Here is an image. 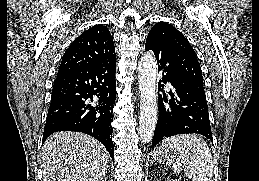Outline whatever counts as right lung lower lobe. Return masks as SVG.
<instances>
[{
	"mask_svg": "<svg viewBox=\"0 0 259 181\" xmlns=\"http://www.w3.org/2000/svg\"><path fill=\"white\" fill-rule=\"evenodd\" d=\"M115 72L116 62L112 58L96 66L57 75L43 142L54 132H83L99 140L113 159L111 121L116 99Z\"/></svg>",
	"mask_w": 259,
	"mask_h": 181,
	"instance_id": "right-lung-lower-lobe-1",
	"label": "right lung lower lobe"
}]
</instances>
